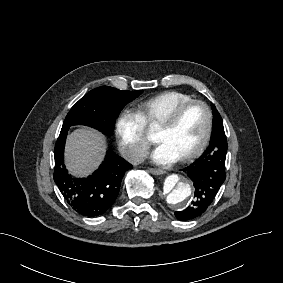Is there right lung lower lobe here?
<instances>
[{"mask_svg": "<svg viewBox=\"0 0 283 283\" xmlns=\"http://www.w3.org/2000/svg\"><path fill=\"white\" fill-rule=\"evenodd\" d=\"M69 127H62L54 157V180L67 203L79 214L96 217L111 208L119 193L124 174L132 168L126 160L108 150L104 162L87 178H75L64 164V146Z\"/></svg>", "mask_w": 283, "mask_h": 283, "instance_id": "98d812e1", "label": "right lung lower lobe"}]
</instances>
